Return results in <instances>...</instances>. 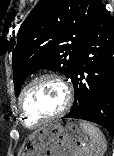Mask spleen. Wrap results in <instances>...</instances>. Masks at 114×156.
I'll return each instance as SVG.
<instances>
[{"label": "spleen", "mask_w": 114, "mask_h": 156, "mask_svg": "<svg viewBox=\"0 0 114 156\" xmlns=\"http://www.w3.org/2000/svg\"><path fill=\"white\" fill-rule=\"evenodd\" d=\"M80 125L83 131L89 136L90 142L81 149L79 156H104L107 150V144L100 129L87 121H80Z\"/></svg>", "instance_id": "1"}]
</instances>
